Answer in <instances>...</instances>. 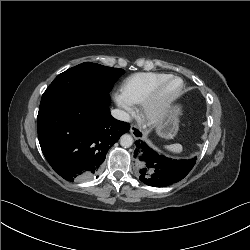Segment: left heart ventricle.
<instances>
[{
    "instance_id": "1",
    "label": "left heart ventricle",
    "mask_w": 250,
    "mask_h": 250,
    "mask_svg": "<svg viewBox=\"0 0 250 250\" xmlns=\"http://www.w3.org/2000/svg\"><path fill=\"white\" fill-rule=\"evenodd\" d=\"M179 87H180V81L178 80L171 81L163 91L162 94L163 98H166L175 93L179 89Z\"/></svg>"
}]
</instances>
